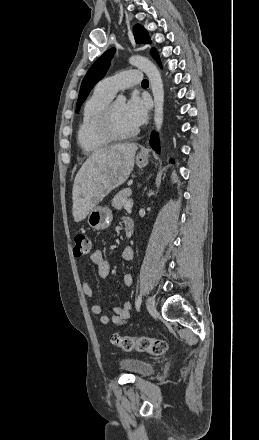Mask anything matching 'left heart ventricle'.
<instances>
[{
    "label": "left heart ventricle",
    "instance_id": "obj_1",
    "mask_svg": "<svg viewBox=\"0 0 259 440\" xmlns=\"http://www.w3.org/2000/svg\"><path fill=\"white\" fill-rule=\"evenodd\" d=\"M114 120L120 132H129L136 127L131 124L125 113V103L117 101L114 103Z\"/></svg>",
    "mask_w": 259,
    "mask_h": 440
}]
</instances>
